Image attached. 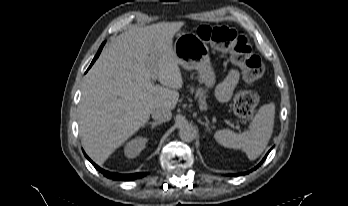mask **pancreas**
Segmentation results:
<instances>
[{
    "instance_id": "1",
    "label": "pancreas",
    "mask_w": 348,
    "mask_h": 206,
    "mask_svg": "<svg viewBox=\"0 0 348 206\" xmlns=\"http://www.w3.org/2000/svg\"><path fill=\"white\" fill-rule=\"evenodd\" d=\"M191 92H194V88H190ZM196 97L199 98V104L201 107H206V91L202 88L196 90Z\"/></svg>"
}]
</instances>
